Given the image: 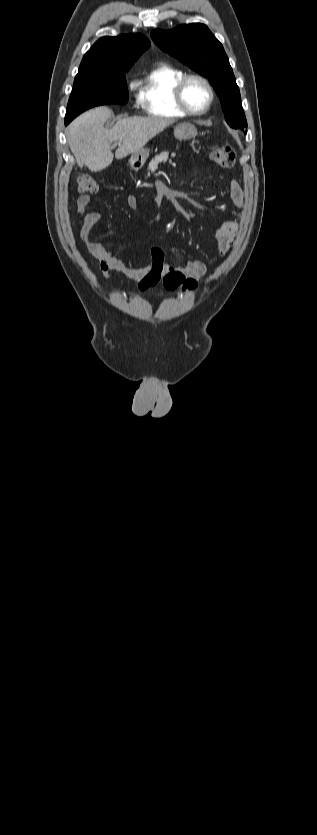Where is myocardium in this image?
<instances>
[{"label":"myocardium","mask_w":317,"mask_h":835,"mask_svg":"<svg viewBox=\"0 0 317 835\" xmlns=\"http://www.w3.org/2000/svg\"><path fill=\"white\" fill-rule=\"evenodd\" d=\"M191 80H198V81L202 82L207 87V89L209 91V100H208L206 106L201 110L191 109L190 106L187 104V102L185 100L186 86ZM175 99H176V103H177L178 107L186 115L201 116V115L207 113L210 110V108H211V106L214 102V99H215L214 87H213L212 83L210 82V80L208 78H206L205 76L201 75V74H196V73L185 74L180 79V81L177 83V85L175 87Z\"/></svg>","instance_id":"f54148a6"}]
</instances>
